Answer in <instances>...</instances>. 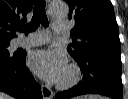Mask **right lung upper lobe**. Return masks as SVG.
<instances>
[{
  "label": "right lung upper lobe",
  "mask_w": 128,
  "mask_h": 99,
  "mask_svg": "<svg viewBox=\"0 0 128 99\" xmlns=\"http://www.w3.org/2000/svg\"><path fill=\"white\" fill-rule=\"evenodd\" d=\"M34 0H0V42L16 37V25L26 20Z\"/></svg>",
  "instance_id": "right-lung-upper-lobe-1"
}]
</instances>
